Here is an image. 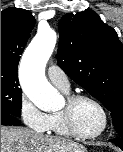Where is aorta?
Listing matches in <instances>:
<instances>
[{"label":"aorta","mask_w":123,"mask_h":152,"mask_svg":"<svg viewBox=\"0 0 123 152\" xmlns=\"http://www.w3.org/2000/svg\"><path fill=\"white\" fill-rule=\"evenodd\" d=\"M57 41L51 28L38 31L20 64V82L25 95L42 111H51L60 104L56 89L45 78V66L51 57Z\"/></svg>","instance_id":"762f6f07"}]
</instances>
